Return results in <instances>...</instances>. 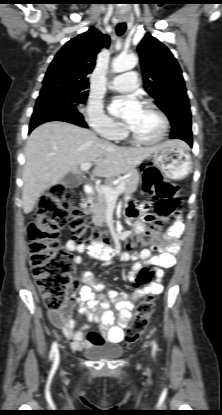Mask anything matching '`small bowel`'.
<instances>
[{
  "label": "small bowel",
  "instance_id": "c3829d8e",
  "mask_svg": "<svg viewBox=\"0 0 222 415\" xmlns=\"http://www.w3.org/2000/svg\"><path fill=\"white\" fill-rule=\"evenodd\" d=\"M127 218L138 232L144 231V225L136 221L137 210L133 206L126 209ZM149 216H145L148 220ZM184 230V222L180 216L170 228L164 239L148 248L134 253H122V261H133L134 265L128 273V279L134 281L145 265L156 267L155 280L144 287H137L132 293L107 290L103 283H99L89 271H83L81 282L77 290L71 294L66 307L61 311H49L50 322L59 328L68 339L74 351L84 348L101 346L105 344H119L124 340V330L132 317V311L137 301L146 295H159L163 291L161 280L164 269L176 265L175 254L179 252L181 243L179 236ZM66 247L73 252L82 253L90 251L82 244L69 240ZM157 251V254L153 252ZM112 257V256H110ZM81 257L76 256L75 262L81 263ZM77 308L80 314L87 316L88 320L100 326L101 332L91 330L87 324H79L71 317V311ZM115 312L118 317L115 318Z\"/></svg>",
  "mask_w": 222,
  "mask_h": 415
}]
</instances>
